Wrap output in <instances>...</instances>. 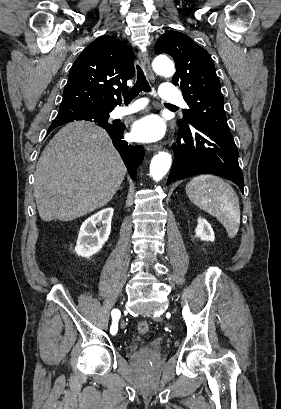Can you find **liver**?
<instances>
[{"instance_id": "6515ba94", "label": "liver", "mask_w": 281, "mask_h": 409, "mask_svg": "<svg viewBox=\"0 0 281 409\" xmlns=\"http://www.w3.org/2000/svg\"><path fill=\"white\" fill-rule=\"evenodd\" d=\"M127 168L105 128L87 120L65 124L36 166L34 196L42 221H73L107 205Z\"/></svg>"}]
</instances>
